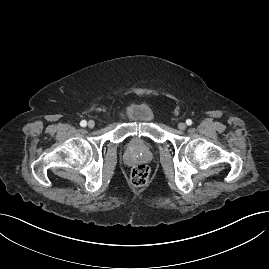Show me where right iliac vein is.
<instances>
[{"instance_id": "1", "label": "right iliac vein", "mask_w": 269, "mask_h": 269, "mask_svg": "<svg viewBox=\"0 0 269 269\" xmlns=\"http://www.w3.org/2000/svg\"><path fill=\"white\" fill-rule=\"evenodd\" d=\"M87 125L89 128H93L95 126V122L93 120H90Z\"/></svg>"}]
</instances>
